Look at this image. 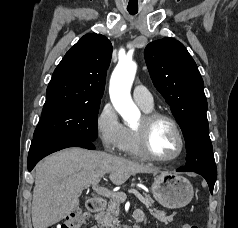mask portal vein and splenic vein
<instances>
[{"label": "portal vein and splenic vein", "mask_w": 238, "mask_h": 228, "mask_svg": "<svg viewBox=\"0 0 238 228\" xmlns=\"http://www.w3.org/2000/svg\"><path fill=\"white\" fill-rule=\"evenodd\" d=\"M93 190L104 197L110 198V199H120L125 201L127 196L125 193H121V192H111L110 190H108L107 188L104 187H98L97 184L94 185ZM130 193H133L138 200L143 203L144 205H146V207H150L151 203L149 201H147L144 197H142L137 191L135 190H130Z\"/></svg>", "instance_id": "portal-vein-and-splenic-vein-1"}]
</instances>
